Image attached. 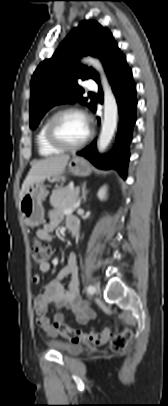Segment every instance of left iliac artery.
<instances>
[{"label":"left iliac artery","instance_id":"obj_1","mask_svg":"<svg viewBox=\"0 0 168 406\" xmlns=\"http://www.w3.org/2000/svg\"><path fill=\"white\" fill-rule=\"evenodd\" d=\"M87 292H88L89 294H94L95 288H94L92 285H90V286L87 287Z\"/></svg>","mask_w":168,"mask_h":406}]
</instances>
